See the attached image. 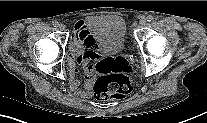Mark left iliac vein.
Instances as JSON below:
<instances>
[{
	"label": "left iliac vein",
	"mask_w": 207,
	"mask_h": 123,
	"mask_svg": "<svg viewBox=\"0 0 207 123\" xmlns=\"http://www.w3.org/2000/svg\"><path fill=\"white\" fill-rule=\"evenodd\" d=\"M146 23H147L146 18H141L140 21H139V25H140V26H145Z\"/></svg>",
	"instance_id": "4c4485c4"
}]
</instances>
